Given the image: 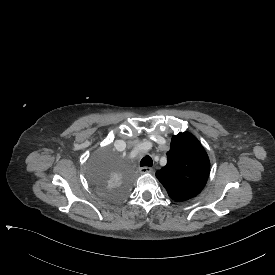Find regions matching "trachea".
Here are the masks:
<instances>
[{
	"mask_svg": "<svg viewBox=\"0 0 275 275\" xmlns=\"http://www.w3.org/2000/svg\"><path fill=\"white\" fill-rule=\"evenodd\" d=\"M153 161L150 156H145L141 162H140V167H152Z\"/></svg>",
	"mask_w": 275,
	"mask_h": 275,
	"instance_id": "1",
	"label": "trachea"
}]
</instances>
